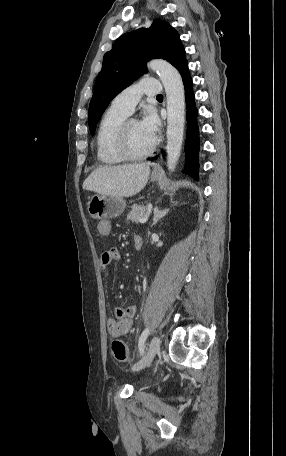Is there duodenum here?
Instances as JSON below:
<instances>
[{
  "mask_svg": "<svg viewBox=\"0 0 286 456\" xmlns=\"http://www.w3.org/2000/svg\"><path fill=\"white\" fill-rule=\"evenodd\" d=\"M134 247L136 250H140L143 244V239L141 236H135L133 239Z\"/></svg>",
  "mask_w": 286,
  "mask_h": 456,
  "instance_id": "1",
  "label": "duodenum"
}]
</instances>
